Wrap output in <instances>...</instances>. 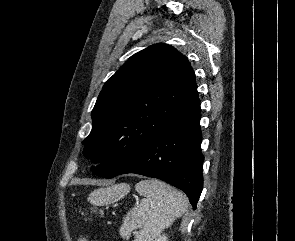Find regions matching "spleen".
<instances>
[{"mask_svg":"<svg viewBox=\"0 0 295 241\" xmlns=\"http://www.w3.org/2000/svg\"><path fill=\"white\" fill-rule=\"evenodd\" d=\"M136 191L144 196L138 206L130 209L123 218L119 233L129 239L135 232L134 241H155L161 232L188 211L186 196L172 186L156 179L139 181Z\"/></svg>","mask_w":295,"mask_h":241,"instance_id":"3e777b00","label":"spleen"}]
</instances>
